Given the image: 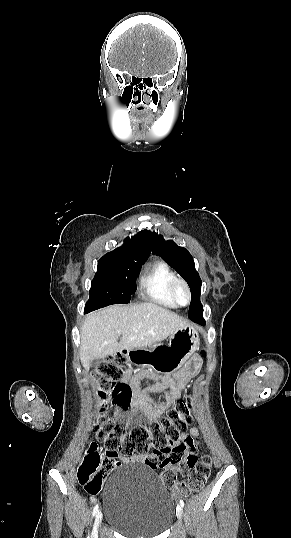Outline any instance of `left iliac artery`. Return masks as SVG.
<instances>
[{
	"label": "left iliac artery",
	"mask_w": 291,
	"mask_h": 538,
	"mask_svg": "<svg viewBox=\"0 0 291 538\" xmlns=\"http://www.w3.org/2000/svg\"><path fill=\"white\" fill-rule=\"evenodd\" d=\"M179 503H180V506L183 508L184 507V501L182 499H180Z\"/></svg>",
	"instance_id": "1"
}]
</instances>
